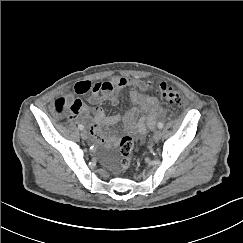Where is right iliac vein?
I'll return each mask as SVG.
<instances>
[{"mask_svg": "<svg viewBox=\"0 0 243 243\" xmlns=\"http://www.w3.org/2000/svg\"><path fill=\"white\" fill-rule=\"evenodd\" d=\"M80 135H81L82 139H84V140L88 139V134L86 131L83 130Z\"/></svg>", "mask_w": 243, "mask_h": 243, "instance_id": "1", "label": "right iliac vein"}]
</instances>
